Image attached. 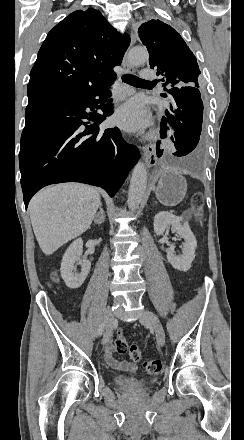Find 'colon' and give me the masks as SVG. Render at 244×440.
<instances>
[{"instance_id": "5ec220e1", "label": "colon", "mask_w": 244, "mask_h": 440, "mask_svg": "<svg viewBox=\"0 0 244 440\" xmlns=\"http://www.w3.org/2000/svg\"><path fill=\"white\" fill-rule=\"evenodd\" d=\"M201 205V199L199 197H194L193 207L194 215L196 217H199V215L201 214ZM114 350L117 354H125L127 352L129 354V357L135 362H138L142 357V351L140 347L135 344H128L127 339L122 333H119L114 342ZM143 368L148 375L152 376L161 372L162 364L158 359H148L144 362Z\"/></svg>"}]
</instances>
